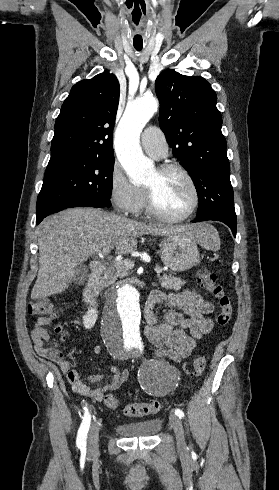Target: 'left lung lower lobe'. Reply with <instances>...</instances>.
I'll return each instance as SVG.
<instances>
[{"label": "left lung lower lobe", "instance_id": "left-lung-lower-lobe-1", "mask_svg": "<svg viewBox=\"0 0 279 490\" xmlns=\"http://www.w3.org/2000/svg\"><path fill=\"white\" fill-rule=\"evenodd\" d=\"M206 220H215V221H221V222L225 223L232 230L234 237H236V231H237V220H236V218H231L229 216L211 213V214H207L205 216L196 217L193 220V222H200V221H206Z\"/></svg>", "mask_w": 279, "mask_h": 490}]
</instances>
